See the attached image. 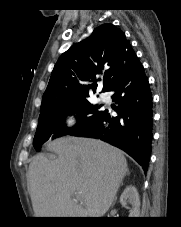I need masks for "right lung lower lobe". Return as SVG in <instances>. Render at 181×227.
Wrapping results in <instances>:
<instances>
[{"mask_svg": "<svg viewBox=\"0 0 181 227\" xmlns=\"http://www.w3.org/2000/svg\"><path fill=\"white\" fill-rule=\"evenodd\" d=\"M108 91L116 92L112 98L118 104V116L105 110L96 123L74 135L104 140L127 152L147 171L153 136L152 93L137 56L130 58Z\"/></svg>", "mask_w": 181, "mask_h": 227, "instance_id": "98d812e1", "label": "right lung lower lobe"}]
</instances>
